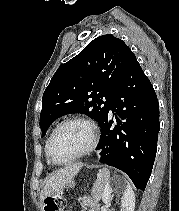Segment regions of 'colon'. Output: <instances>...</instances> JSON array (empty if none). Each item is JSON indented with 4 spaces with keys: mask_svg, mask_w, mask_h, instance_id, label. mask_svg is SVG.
<instances>
[{
    "mask_svg": "<svg viewBox=\"0 0 179 211\" xmlns=\"http://www.w3.org/2000/svg\"><path fill=\"white\" fill-rule=\"evenodd\" d=\"M65 205V199L61 193L48 196L43 201L44 211H61Z\"/></svg>",
    "mask_w": 179,
    "mask_h": 211,
    "instance_id": "colon-1",
    "label": "colon"
}]
</instances>
